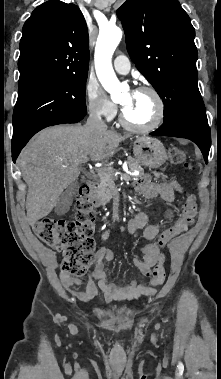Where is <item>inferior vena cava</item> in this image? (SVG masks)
Segmentation results:
<instances>
[{"label": "inferior vena cava", "instance_id": "602c4592", "mask_svg": "<svg viewBox=\"0 0 221 379\" xmlns=\"http://www.w3.org/2000/svg\"><path fill=\"white\" fill-rule=\"evenodd\" d=\"M101 115L102 113L98 109H95V108L91 109L85 127L92 130H98V131L107 130V125L102 120Z\"/></svg>", "mask_w": 221, "mask_h": 379}]
</instances>
